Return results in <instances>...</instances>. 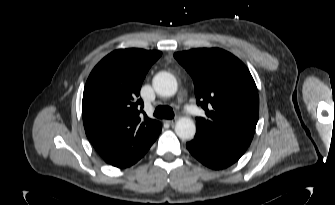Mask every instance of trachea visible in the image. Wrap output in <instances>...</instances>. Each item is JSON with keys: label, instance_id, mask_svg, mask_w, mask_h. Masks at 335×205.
<instances>
[{"label": "trachea", "instance_id": "1", "mask_svg": "<svg viewBox=\"0 0 335 205\" xmlns=\"http://www.w3.org/2000/svg\"><path fill=\"white\" fill-rule=\"evenodd\" d=\"M154 116L160 119H173L174 112L169 106H158L154 111Z\"/></svg>", "mask_w": 335, "mask_h": 205}]
</instances>
